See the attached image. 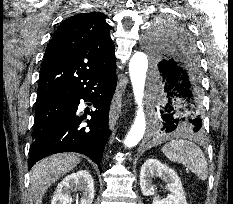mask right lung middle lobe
I'll return each instance as SVG.
<instances>
[{
    "label": "right lung middle lobe",
    "mask_w": 233,
    "mask_h": 204,
    "mask_svg": "<svg viewBox=\"0 0 233 204\" xmlns=\"http://www.w3.org/2000/svg\"><path fill=\"white\" fill-rule=\"evenodd\" d=\"M65 97L66 95H57L37 102L33 139L45 135L66 117Z\"/></svg>",
    "instance_id": "dd1d6c3e"
}]
</instances>
